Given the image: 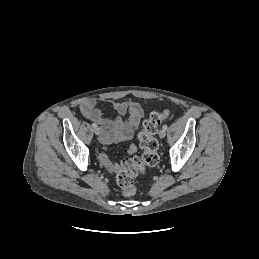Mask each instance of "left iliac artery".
<instances>
[{
  "label": "left iliac artery",
  "mask_w": 259,
  "mask_h": 259,
  "mask_svg": "<svg viewBox=\"0 0 259 259\" xmlns=\"http://www.w3.org/2000/svg\"><path fill=\"white\" fill-rule=\"evenodd\" d=\"M164 130H166L167 129V125H163V127H162Z\"/></svg>",
  "instance_id": "left-iliac-artery-1"
}]
</instances>
